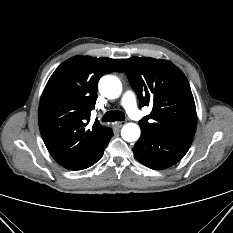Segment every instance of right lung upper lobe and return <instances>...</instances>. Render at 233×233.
Listing matches in <instances>:
<instances>
[{
  "mask_svg": "<svg viewBox=\"0 0 233 233\" xmlns=\"http://www.w3.org/2000/svg\"><path fill=\"white\" fill-rule=\"evenodd\" d=\"M123 72L118 59L75 56L50 77L41 96L38 122L43 141L57 163L70 170L92 166L110 129L98 120L88 125L98 81Z\"/></svg>",
  "mask_w": 233,
  "mask_h": 233,
  "instance_id": "obj_1",
  "label": "right lung upper lobe"
}]
</instances>
